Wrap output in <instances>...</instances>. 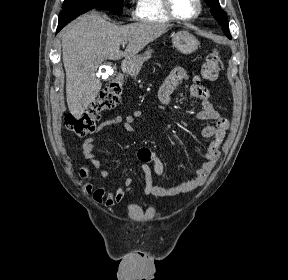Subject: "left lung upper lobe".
Segmentation results:
<instances>
[{
    "label": "left lung upper lobe",
    "instance_id": "obj_1",
    "mask_svg": "<svg viewBox=\"0 0 288 280\" xmlns=\"http://www.w3.org/2000/svg\"><path fill=\"white\" fill-rule=\"evenodd\" d=\"M206 4L210 7V11L214 18L222 26V30L225 35L231 39V34L229 32V25L226 13L221 9L219 0H205Z\"/></svg>",
    "mask_w": 288,
    "mask_h": 280
}]
</instances>
